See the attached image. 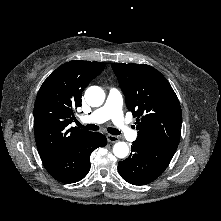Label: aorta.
I'll list each match as a JSON object with an SVG mask.
<instances>
[{
  "label": "aorta",
  "mask_w": 221,
  "mask_h": 221,
  "mask_svg": "<svg viewBox=\"0 0 221 221\" xmlns=\"http://www.w3.org/2000/svg\"><path fill=\"white\" fill-rule=\"evenodd\" d=\"M85 99L92 107L101 106L105 100V93L101 87L90 86L85 91ZM113 153L117 158H125L129 153V147L125 142H117L113 146Z\"/></svg>",
  "instance_id": "obj_1"
}]
</instances>
